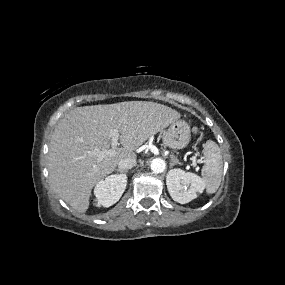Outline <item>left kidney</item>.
Listing matches in <instances>:
<instances>
[{
    "label": "left kidney",
    "instance_id": "obj_1",
    "mask_svg": "<svg viewBox=\"0 0 285 285\" xmlns=\"http://www.w3.org/2000/svg\"><path fill=\"white\" fill-rule=\"evenodd\" d=\"M168 192L172 199L185 204L202 193L205 188L204 181L197 175L181 169H172L166 177Z\"/></svg>",
    "mask_w": 285,
    "mask_h": 285
}]
</instances>
